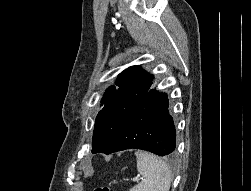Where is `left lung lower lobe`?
Segmentation results:
<instances>
[{"instance_id": "1", "label": "left lung lower lobe", "mask_w": 251, "mask_h": 191, "mask_svg": "<svg viewBox=\"0 0 251 191\" xmlns=\"http://www.w3.org/2000/svg\"><path fill=\"white\" fill-rule=\"evenodd\" d=\"M166 93L149 90L136 104L107 154L142 149L159 156L174 153L176 132Z\"/></svg>"}]
</instances>
